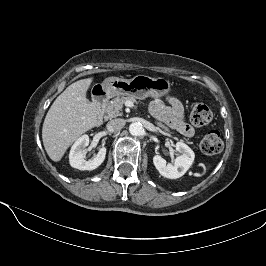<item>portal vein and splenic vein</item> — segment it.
<instances>
[{
    "instance_id": "18ae733b",
    "label": "portal vein and splenic vein",
    "mask_w": 266,
    "mask_h": 266,
    "mask_svg": "<svg viewBox=\"0 0 266 266\" xmlns=\"http://www.w3.org/2000/svg\"><path fill=\"white\" fill-rule=\"evenodd\" d=\"M126 106H128V107H133L134 104H133V102H131V101H127V102H126Z\"/></svg>"
}]
</instances>
